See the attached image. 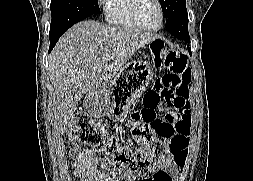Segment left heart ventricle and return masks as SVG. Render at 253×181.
<instances>
[{
  "label": "left heart ventricle",
  "instance_id": "1",
  "mask_svg": "<svg viewBox=\"0 0 253 181\" xmlns=\"http://www.w3.org/2000/svg\"><path fill=\"white\" fill-rule=\"evenodd\" d=\"M138 14L144 26L148 28L158 27L160 10L155 0H140Z\"/></svg>",
  "mask_w": 253,
  "mask_h": 181
}]
</instances>
